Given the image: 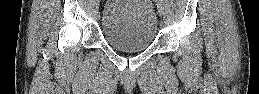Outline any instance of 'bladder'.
<instances>
[{"label": "bladder", "mask_w": 259, "mask_h": 94, "mask_svg": "<svg viewBox=\"0 0 259 94\" xmlns=\"http://www.w3.org/2000/svg\"><path fill=\"white\" fill-rule=\"evenodd\" d=\"M106 42L122 51H143L154 42L158 21L148 0H108L100 19Z\"/></svg>", "instance_id": "obj_1"}]
</instances>
